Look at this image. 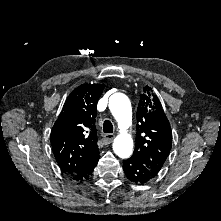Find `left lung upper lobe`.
<instances>
[{"label":"left lung upper lobe","instance_id":"1","mask_svg":"<svg viewBox=\"0 0 221 221\" xmlns=\"http://www.w3.org/2000/svg\"><path fill=\"white\" fill-rule=\"evenodd\" d=\"M143 91L136 116V145L131 157L157 174L171 150L172 132L158 97L150 87Z\"/></svg>","mask_w":221,"mask_h":221}]
</instances>
